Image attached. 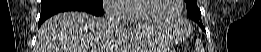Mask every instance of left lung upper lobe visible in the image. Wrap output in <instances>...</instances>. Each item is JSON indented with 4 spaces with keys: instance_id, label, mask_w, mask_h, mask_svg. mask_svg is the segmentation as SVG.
<instances>
[{
    "instance_id": "5c2ea615",
    "label": "left lung upper lobe",
    "mask_w": 261,
    "mask_h": 52,
    "mask_svg": "<svg viewBox=\"0 0 261 52\" xmlns=\"http://www.w3.org/2000/svg\"><path fill=\"white\" fill-rule=\"evenodd\" d=\"M187 3V17L199 23L200 27L203 26L201 21V12L197 7L196 0H185Z\"/></svg>"
}]
</instances>
